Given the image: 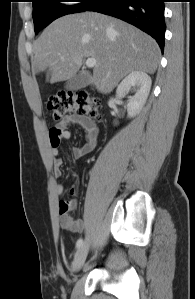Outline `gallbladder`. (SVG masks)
<instances>
[{"label": "gallbladder", "instance_id": "obj_1", "mask_svg": "<svg viewBox=\"0 0 195 299\" xmlns=\"http://www.w3.org/2000/svg\"><path fill=\"white\" fill-rule=\"evenodd\" d=\"M89 84V78L86 74L78 73L66 82V89L75 91L86 87Z\"/></svg>", "mask_w": 195, "mask_h": 299}]
</instances>
